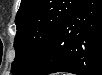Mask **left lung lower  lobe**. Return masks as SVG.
<instances>
[{
  "instance_id": "0a47b994",
  "label": "left lung lower lobe",
  "mask_w": 102,
  "mask_h": 75,
  "mask_svg": "<svg viewBox=\"0 0 102 75\" xmlns=\"http://www.w3.org/2000/svg\"><path fill=\"white\" fill-rule=\"evenodd\" d=\"M102 75V1L83 0L50 35L29 75Z\"/></svg>"
}]
</instances>
